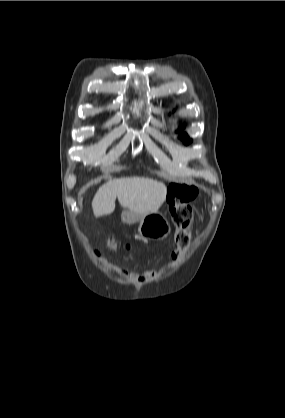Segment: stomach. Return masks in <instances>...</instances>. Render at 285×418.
I'll use <instances>...</instances> for the list:
<instances>
[{"instance_id": "stomach-1", "label": "stomach", "mask_w": 285, "mask_h": 418, "mask_svg": "<svg viewBox=\"0 0 285 418\" xmlns=\"http://www.w3.org/2000/svg\"><path fill=\"white\" fill-rule=\"evenodd\" d=\"M121 218L124 223L129 225L139 221V234L146 240L161 239L170 232V226L165 216L158 211L142 215L140 218L130 211H123Z\"/></svg>"}]
</instances>
